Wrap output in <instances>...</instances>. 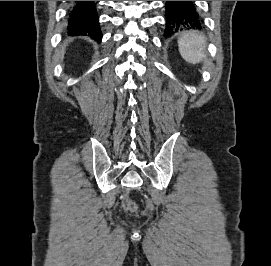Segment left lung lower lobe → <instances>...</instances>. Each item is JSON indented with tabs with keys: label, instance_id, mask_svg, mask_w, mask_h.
I'll list each match as a JSON object with an SVG mask.
<instances>
[{
	"label": "left lung lower lobe",
	"instance_id": "obj_1",
	"mask_svg": "<svg viewBox=\"0 0 271 266\" xmlns=\"http://www.w3.org/2000/svg\"><path fill=\"white\" fill-rule=\"evenodd\" d=\"M165 35L173 34L179 29L201 28L203 20L194 1H166Z\"/></svg>",
	"mask_w": 271,
	"mask_h": 266
}]
</instances>
